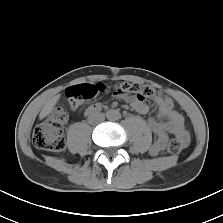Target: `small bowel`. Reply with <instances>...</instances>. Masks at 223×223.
Segmentation results:
<instances>
[{"label": "small bowel", "mask_w": 223, "mask_h": 223, "mask_svg": "<svg viewBox=\"0 0 223 223\" xmlns=\"http://www.w3.org/2000/svg\"><path fill=\"white\" fill-rule=\"evenodd\" d=\"M133 109L141 114L149 111V106L135 96L125 98ZM154 102L157 106V114L148 120L149 127L155 136V140L151 145L150 152L152 155L161 154L167 145L169 136L177 137L182 145L186 146L189 143L190 136L184 126V118L175 109L170 110L164 105L163 101L158 96L154 97ZM102 108L100 103L89 106L85 113L92 114Z\"/></svg>", "instance_id": "obj_1"}]
</instances>
